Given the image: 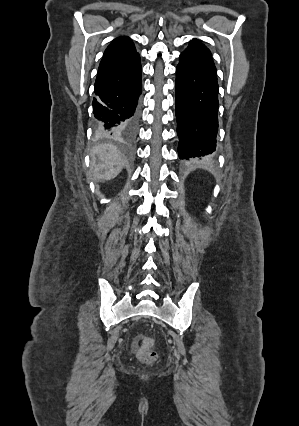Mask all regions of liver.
Masks as SVG:
<instances>
[{"label": "liver", "mask_w": 299, "mask_h": 426, "mask_svg": "<svg viewBox=\"0 0 299 426\" xmlns=\"http://www.w3.org/2000/svg\"><path fill=\"white\" fill-rule=\"evenodd\" d=\"M98 157L99 163H96ZM93 179L108 181L115 178L124 167V159L114 145L100 144L92 151Z\"/></svg>", "instance_id": "1"}]
</instances>
